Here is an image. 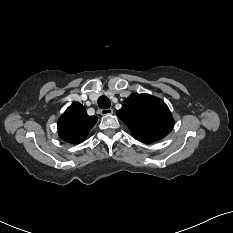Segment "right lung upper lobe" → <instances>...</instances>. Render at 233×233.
<instances>
[{"instance_id":"obj_1","label":"right lung upper lobe","mask_w":233,"mask_h":233,"mask_svg":"<svg viewBox=\"0 0 233 233\" xmlns=\"http://www.w3.org/2000/svg\"><path fill=\"white\" fill-rule=\"evenodd\" d=\"M97 117L89 116L83 105L72 103L58 120V133L66 142L77 144L87 137Z\"/></svg>"}]
</instances>
